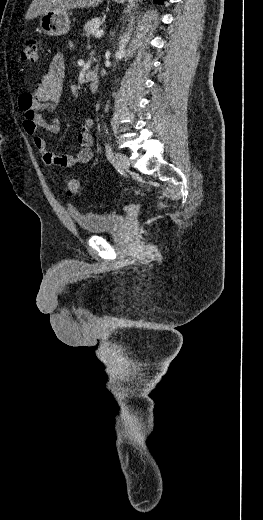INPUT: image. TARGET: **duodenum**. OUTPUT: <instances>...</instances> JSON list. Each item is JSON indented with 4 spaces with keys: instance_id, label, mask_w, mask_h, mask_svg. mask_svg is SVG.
I'll return each mask as SVG.
<instances>
[{
    "instance_id": "410a0bca",
    "label": "duodenum",
    "mask_w": 263,
    "mask_h": 520,
    "mask_svg": "<svg viewBox=\"0 0 263 520\" xmlns=\"http://www.w3.org/2000/svg\"><path fill=\"white\" fill-rule=\"evenodd\" d=\"M89 89L92 93H96L99 88V75L96 70L90 71L86 76Z\"/></svg>"
}]
</instances>
